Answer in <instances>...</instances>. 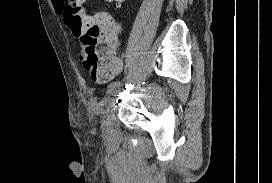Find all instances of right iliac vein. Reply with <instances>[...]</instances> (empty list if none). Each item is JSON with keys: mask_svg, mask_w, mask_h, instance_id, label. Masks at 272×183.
Here are the masks:
<instances>
[{"mask_svg": "<svg viewBox=\"0 0 272 183\" xmlns=\"http://www.w3.org/2000/svg\"><path fill=\"white\" fill-rule=\"evenodd\" d=\"M117 92H118V90H116V89L111 92H108V95L104 98V102L105 103L110 102L113 99V97L117 94Z\"/></svg>", "mask_w": 272, "mask_h": 183, "instance_id": "1", "label": "right iliac vein"}]
</instances>
